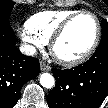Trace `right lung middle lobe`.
Instances as JSON below:
<instances>
[{"label": "right lung middle lobe", "instance_id": "right-lung-middle-lobe-1", "mask_svg": "<svg viewBox=\"0 0 108 108\" xmlns=\"http://www.w3.org/2000/svg\"><path fill=\"white\" fill-rule=\"evenodd\" d=\"M13 5L11 0H0V21H8Z\"/></svg>", "mask_w": 108, "mask_h": 108}]
</instances>
